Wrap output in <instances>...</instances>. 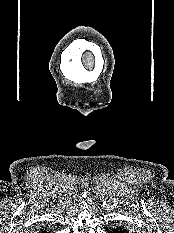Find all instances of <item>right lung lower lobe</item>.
<instances>
[{"label": "right lung lower lobe", "instance_id": "right-lung-lower-lobe-1", "mask_svg": "<svg viewBox=\"0 0 174 233\" xmlns=\"http://www.w3.org/2000/svg\"><path fill=\"white\" fill-rule=\"evenodd\" d=\"M41 233H47V232H45V230L42 229V230H41Z\"/></svg>", "mask_w": 174, "mask_h": 233}]
</instances>
